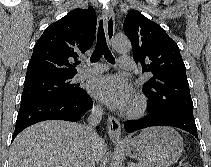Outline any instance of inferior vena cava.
<instances>
[{"label":"inferior vena cava","instance_id":"1","mask_svg":"<svg viewBox=\"0 0 211 167\" xmlns=\"http://www.w3.org/2000/svg\"><path fill=\"white\" fill-rule=\"evenodd\" d=\"M102 115H103L102 108L95 107L92 110L90 116L88 117V124L85 126V129L90 133V137L93 142L99 140V137L94 131L93 127H95L100 123ZM95 158H96L95 149L92 148V150H88L82 163V167H95Z\"/></svg>","mask_w":211,"mask_h":167}]
</instances>
